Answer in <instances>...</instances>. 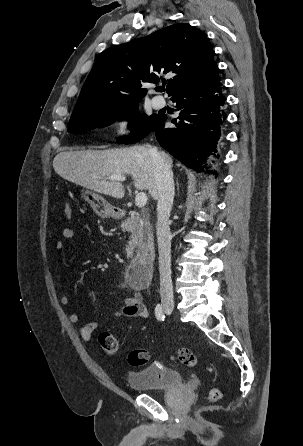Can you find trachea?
<instances>
[{
  "label": "trachea",
  "instance_id": "1",
  "mask_svg": "<svg viewBox=\"0 0 303 446\" xmlns=\"http://www.w3.org/2000/svg\"><path fill=\"white\" fill-rule=\"evenodd\" d=\"M159 91H165V88H164V87H162V88H160V89H159Z\"/></svg>",
  "mask_w": 303,
  "mask_h": 446
}]
</instances>
